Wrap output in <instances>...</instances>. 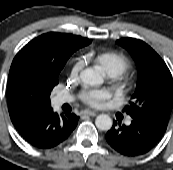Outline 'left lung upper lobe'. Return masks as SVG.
Here are the masks:
<instances>
[{"instance_id":"left-lung-upper-lobe-1","label":"left lung upper lobe","mask_w":173,"mask_h":170,"mask_svg":"<svg viewBox=\"0 0 173 170\" xmlns=\"http://www.w3.org/2000/svg\"><path fill=\"white\" fill-rule=\"evenodd\" d=\"M117 44L130 52L138 73L135 92L124 111L167 128L173 107V80L167 65L141 40L122 38Z\"/></svg>"}]
</instances>
